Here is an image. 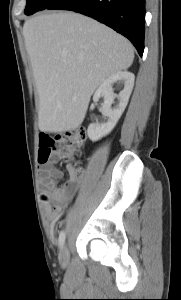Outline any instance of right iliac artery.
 Wrapping results in <instances>:
<instances>
[{
    "label": "right iliac artery",
    "mask_w": 181,
    "mask_h": 300,
    "mask_svg": "<svg viewBox=\"0 0 181 300\" xmlns=\"http://www.w3.org/2000/svg\"><path fill=\"white\" fill-rule=\"evenodd\" d=\"M65 232L62 230L59 234V246H63L64 242H65Z\"/></svg>",
    "instance_id": "82829eb1"
}]
</instances>
